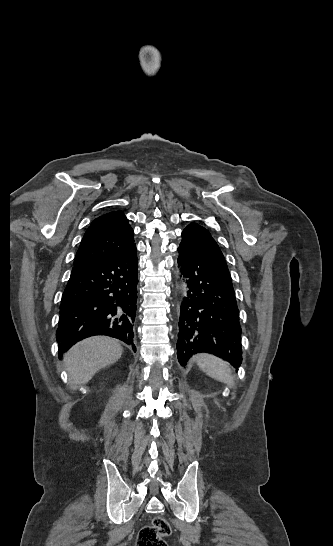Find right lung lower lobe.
<instances>
[{
    "mask_svg": "<svg viewBox=\"0 0 333 546\" xmlns=\"http://www.w3.org/2000/svg\"><path fill=\"white\" fill-rule=\"evenodd\" d=\"M136 251L134 244L113 259L73 267L60 305L56 333L60 358L78 341L95 335L117 338L136 351Z\"/></svg>",
    "mask_w": 333,
    "mask_h": 546,
    "instance_id": "1",
    "label": "right lung lower lobe"
}]
</instances>
